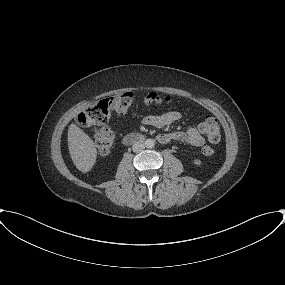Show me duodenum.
<instances>
[{
	"label": "duodenum",
	"instance_id": "410a0bca",
	"mask_svg": "<svg viewBox=\"0 0 285 285\" xmlns=\"http://www.w3.org/2000/svg\"><path fill=\"white\" fill-rule=\"evenodd\" d=\"M144 140V136L139 133H129L122 138L123 145H131Z\"/></svg>",
	"mask_w": 285,
	"mask_h": 285
}]
</instances>
